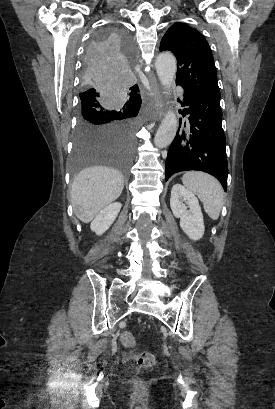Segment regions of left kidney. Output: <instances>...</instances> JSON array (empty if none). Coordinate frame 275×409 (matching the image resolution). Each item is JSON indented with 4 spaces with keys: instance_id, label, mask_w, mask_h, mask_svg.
Wrapping results in <instances>:
<instances>
[{
    "instance_id": "obj_1",
    "label": "left kidney",
    "mask_w": 275,
    "mask_h": 409,
    "mask_svg": "<svg viewBox=\"0 0 275 409\" xmlns=\"http://www.w3.org/2000/svg\"><path fill=\"white\" fill-rule=\"evenodd\" d=\"M170 207L174 217L180 219V227L184 233L193 241L202 239L205 227L201 207L195 194L182 184H174L171 190Z\"/></svg>"
}]
</instances>
